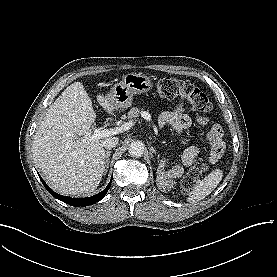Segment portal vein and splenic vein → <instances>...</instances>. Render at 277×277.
Listing matches in <instances>:
<instances>
[{
  "mask_svg": "<svg viewBox=\"0 0 277 277\" xmlns=\"http://www.w3.org/2000/svg\"><path fill=\"white\" fill-rule=\"evenodd\" d=\"M141 116L146 121H150L151 120V115L148 112H146V111L142 112ZM133 125H134V122L129 121V122L124 123L121 127H117V128H114V129H104V130H102L101 128H95L91 138L94 139V140L95 139L106 138V137H109L110 135L120 133L123 130L124 131L128 130Z\"/></svg>",
  "mask_w": 277,
  "mask_h": 277,
  "instance_id": "1",
  "label": "portal vein and splenic vein"
}]
</instances>
